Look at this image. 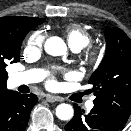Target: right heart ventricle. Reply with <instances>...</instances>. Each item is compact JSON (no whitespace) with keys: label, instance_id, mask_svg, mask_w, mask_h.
Instances as JSON below:
<instances>
[{"label":"right heart ventricle","instance_id":"right-heart-ventricle-1","mask_svg":"<svg viewBox=\"0 0 131 131\" xmlns=\"http://www.w3.org/2000/svg\"><path fill=\"white\" fill-rule=\"evenodd\" d=\"M69 45L75 50L88 46L93 41L92 33L77 23L68 24L64 30Z\"/></svg>","mask_w":131,"mask_h":131}]
</instances>
